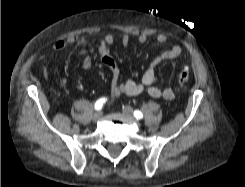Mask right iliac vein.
Wrapping results in <instances>:
<instances>
[{
    "instance_id": "obj_1",
    "label": "right iliac vein",
    "mask_w": 245,
    "mask_h": 187,
    "mask_svg": "<svg viewBox=\"0 0 245 187\" xmlns=\"http://www.w3.org/2000/svg\"><path fill=\"white\" fill-rule=\"evenodd\" d=\"M102 115H103V114H102L101 111H97V112H95V113L93 114L92 120L96 122V121H98V120L101 119Z\"/></svg>"
}]
</instances>
